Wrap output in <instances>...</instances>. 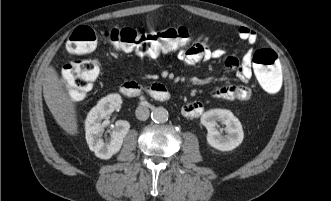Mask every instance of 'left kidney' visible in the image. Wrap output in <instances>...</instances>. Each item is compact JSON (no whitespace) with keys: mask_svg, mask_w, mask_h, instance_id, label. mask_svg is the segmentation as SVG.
Here are the masks:
<instances>
[{"mask_svg":"<svg viewBox=\"0 0 331 201\" xmlns=\"http://www.w3.org/2000/svg\"><path fill=\"white\" fill-rule=\"evenodd\" d=\"M221 122L226 125V135L219 131ZM201 123L208 131L207 142L213 148L220 151H231L237 148L243 141L244 133L241 122L227 109H211L201 116Z\"/></svg>","mask_w":331,"mask_h":201,"instance_id":"left-kidney-1","label":"left kidney"}]
</instances>
